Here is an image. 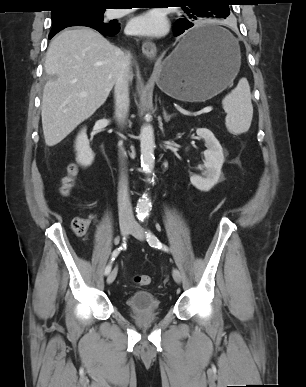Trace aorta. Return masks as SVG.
<instances>
[{
    "instance_id": "1",
    "label": "aorta",
    "mask_w": 306,
    "mask_h": 387,
    "mask_svg": "<svg viewBox=\"0 0 306 387\" xmlns=\"http://www.w3.org/2000/svg\"><path fill=\"white\" fill-rule=\"evenodd\" d=\"M154 131L151 125L145 124L140 131L141 166L147 175L154 170ZM151 200L147 194L138 200L137 210L140 215H147L151 210Z\"/></svg>"
}]
</instances>
